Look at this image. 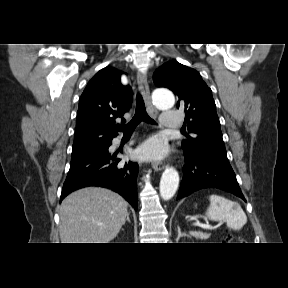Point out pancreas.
<instances>
[{
	"instance_id": "1",
	"label": "pancreas",
	"mask_w": 288,
	"mask_h": 288,
	"mask_svg": "<svg viewBox=\"0 0 288 288\" xmlns=\"http://www.w3.org/2000/svg\"><path fill=\"white\" fill-rule=\"evenodd\" d=\"M191 235L194 236L197 239H208L210 234L208 233H203L201 231H192Z\"/></svg>"
}]
</instances>
